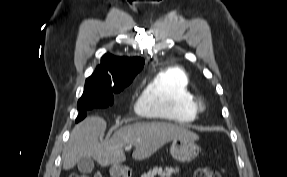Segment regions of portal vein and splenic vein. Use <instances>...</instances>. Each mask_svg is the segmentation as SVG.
I'll use <instances>...</instances> for the list:
<instances>
[{
  "instance_id": "1",
  "label": "portal vein and splenic vein",
  "mask_w": 287,
  "mask_h": 177,
  "mask_svg": "<svg viewBox=\"0 0 287 177\" xmlns=\"http://www.w3.org/2000/svg\"><path fill=\"white\" fill-rule=\"evenodd\" d=\"M131 148H132V146L128 145V146L125 147V150H130Z\"/></svg>"
}]
</instances>
